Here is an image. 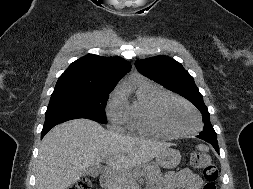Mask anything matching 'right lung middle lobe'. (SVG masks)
<instances>
[{
	"label": "right lung middle lobe",
	"instance_id": "right-lung-middle-lobe-1",
	"mask_svg": "<svg viewBox=\"0 0 253 189\" xmlns=\"http://www.w3.org/2000/svg\"><path fill=\"white\" fill-rule=\"evenodd\" d=\"M113 88H55L45 122L88 118L107 123L105 106Z\"/></svg>",
	"mask_w": 253,
	"mask_h": 189
}]
</instances>
